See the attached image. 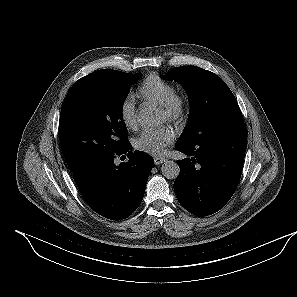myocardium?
Instances as JSON below:
<instances>
[{
  "label": "myocardium",
  "instance_id": "f54148a6",
  "mask_svg": "<svg viewBox=\"0 0 297 297\" xmlns=\"http://www.w3.org/2000/svg\"><path fill=\"white\" fill-rule=\"evenodd\" d=\"M166 119L173 124H180L187 115V103L183 96L175 93L164 104L160 105Z\"/></svg>",
  "mask_w": 297,
  "mask_h": 297
}]
</instances>
